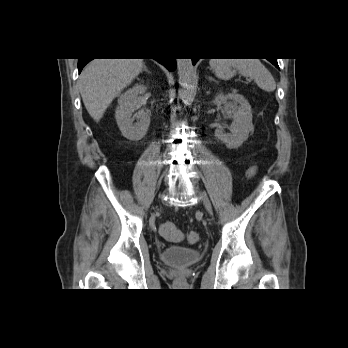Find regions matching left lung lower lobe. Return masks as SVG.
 <instances>
[{"instance_id": "left-lung-lower-lobe-1", "label": "left lung lower lobe", "mask_w": 348, "mask_h": 348, "mask_svg": "<svg viewBox=\"0 0 348 348\" xmlns=\"http://www.w3.org/2000/svg\"><path fill=\"white\" fill-rule=\"evenodd\" d=\"M193 65L197 62L198 59L196 58H193ZM276 68L279 69V66H278V63H277V59H274V60H269Z\"/></svg>"}]
</instances>
